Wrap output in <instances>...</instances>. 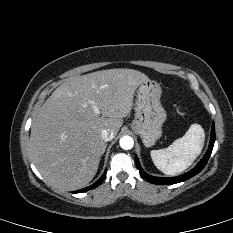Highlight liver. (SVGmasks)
<instances>
[{"label": "liver", "mask_w": 233, "mask_h": 233, "mask_svg": "<svg viewBox=\"0 0 233 233\" xmlns=\"http://www.w3.org/2000/svg\"><path fill=\"white\" fill-rule=\"evenodd\" d=\"M149 78L133 69H108L70 77L45 101L33 121L31 158L51 186L77 190L94 178L106 142L130 114L137 87ZM94 106L99 113L94 112Z\"/></svg>", "instance_id": "obj_1"}]
</instances>
